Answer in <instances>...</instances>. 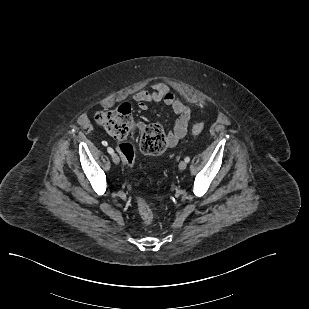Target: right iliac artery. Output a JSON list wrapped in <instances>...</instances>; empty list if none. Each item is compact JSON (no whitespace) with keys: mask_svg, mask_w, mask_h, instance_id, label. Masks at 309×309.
<instances>
[{"mask_svg":"<svg viewBox=\"0 0 309 309\" xmlns=\"http://www.w3.org/2000/svg\"><path fill=\"white\" fill-rule=\"evenodd\" d=\"M107 151H108V153L111 154V155L114 154V150H113L111 147H108V148H107Z\"/></svg>","mask_w":309,"mask_h":309,"instance_id":"obj_1","label":"right iliac artery"}]
</instances>
